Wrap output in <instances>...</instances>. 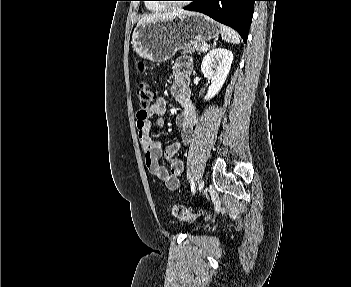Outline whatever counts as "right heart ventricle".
Masks as SVG:
<instances>
[{
    "label": "right heart ventricle",
    "instance_id": "right-heart-ventricle-1",
    "mask_svg": "<svg viewBox=\"0 0 351 287\" xmlns=\"http://www.w3.org/2000/svg\"><path fill=\"white\" fill-rule=\"evenodd\" d=\"M147 8L152 12H159L163 10L162 6L153 3H148Z\"/></svg>",
    "mask_w": 351,
    "mask_h": 287
}]
</instances>
